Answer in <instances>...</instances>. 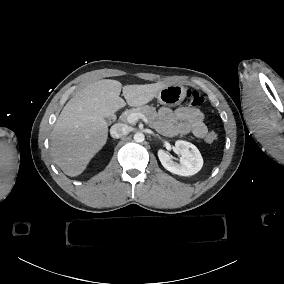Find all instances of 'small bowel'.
<instances>
[{
    "label": "small bowel",
    "mask_w": 284,
    "mask_h": 284,
    "mask_svg": "<svg viewBox=\"0 0 284 284\" xmlns=\"http://www.w3.org/2000/svg\"><path fill=\"white\" fill-rule=\"evenodd\" d=\"M159 129L167 136L193 134L203 138L207 134L203 113L191 107H179L172 110L161 107L158 110Z\"/></svg>",
    "instance_id": "obj_1"
}]
</instances>
